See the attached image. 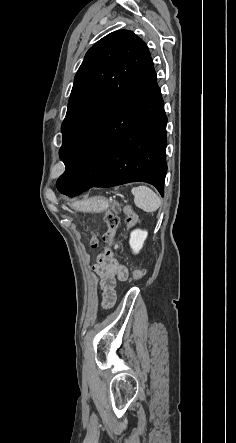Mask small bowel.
Wrapping results in <instances>:
<instances>
[{
    "label": "small bowel",
    "mask_w": 236,
    "mask_h": 443,
    "mask_svg": "<svg viewBox=\"0 0 236 443\" xmlns=\"http://www.w3.org/2000/svg\"><path fill=\"white\" fill-rule=\"evenodd\" d=\"M93 270L100 276V286L103 292V305L110 307L114 304L116 299L115 294V278L124 281L128 277L127 268L120 264L118 260L113 257H108L106 254H101L98 257L97 263Z\"/></svg>",
    "instance_id": "small-bowel-1"
}]
</instances>
